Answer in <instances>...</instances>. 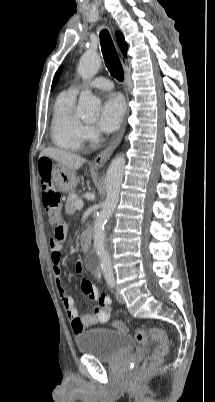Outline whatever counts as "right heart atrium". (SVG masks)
Returning a JSON list of instances; mask_svg holds the SVG:
<instances>
[{"mask_svg": "<svg viewBox=\"0 0 215 402\" xmlns=\"http://www.w3.org/2000/svg\"><path fill=\"white\" fill-rule=\"evenodd\" d=\"M82 138L84 141L94 143L99 140L100 133L92 125H84L82 128Z\"/></svg>", "mask_w": 215, "mask_h": 402, "instance_id": "1", "label": "right heart atrium"}]
</instances>
